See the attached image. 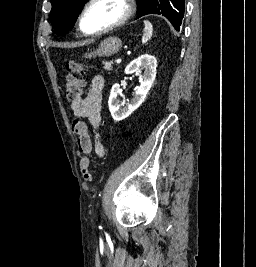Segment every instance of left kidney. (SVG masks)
I'll return each mask as SVG.
<instances>
[{"mask_svg": "<svg viewBox=\"0 0 256 267\" xmlns=\"http://www.w3.org/2000/svg\"><path fill=\"white\" fill-rule=\"evenodd\" d=\"M156 68L157 60L155 56H150V54H143V56L132 60V62L126 66L125 74H134V72H136L139 76L140 86L133 92V98H131V100H123V102L119 100V96L122 94L119 84H114V86H112L108 106L115 122L125 120L134 110H137V108L141 106L150 88H152L154 84L157 74ZM142 70H144L143 74ZM124 104H126V106H124ZM122 106H124V108H122Z\"/></svg>", "mask_w": 256, "mask_h": 267, "instance_id": "5707ae66", "label": "left kidney"}]
</instances>
